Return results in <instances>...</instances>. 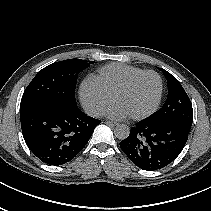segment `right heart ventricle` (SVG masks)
<instances>
[{
  "instance_id": "obj_1",
  "label": "right heart ventricle",
  "mask_w": 211,
  "mask_h": 211,
  "mask_svg": "<svg viewBox=\"0 0 211 211\" xmlns=\"http://www.w3.org/2000/svg\"><path fill=\"white\" fill-rule=\"evenodd\" d=\"M144 69L121 63L108 64L100 68L94 79L111 95L132 76Z\"/></svg>"
}]
</instances>
